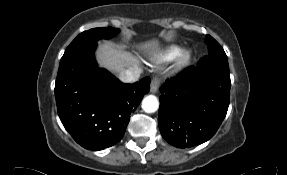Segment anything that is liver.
Listing matches in <instances>:
<instances>
[{"instance_id":"6515ba94","label":"liver","mask_w":287,"mask_h":175,"mask_svg":"<svg viewBox=\"0 0 287 175\" xmlns=\"http://www.w3.org/2000/svg\"><path fill=\"white\" fill-rule=\"evenodd\" d=\"M140 49L151 53L159 49L158 40H150L140 45ZM96 57L99 65L113 73H120L126 68L138 67V60L131 53L116 48L110 43L100 44Z\"/></svg>"}]
</instances>
